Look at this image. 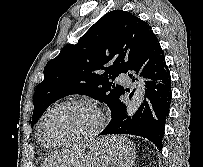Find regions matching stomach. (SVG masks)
I'll return each mask as SVG.
<instances>
[{
    "label": "stomach",
    "mask_w": 203,
    "mask_h": 167,
    "mask_svg": "<svg viewBox=\"0 0 203 167\" xmlns=\"http://www.w3.org/2000/svg\"><path fill=\"white\" fill-rule=\"evenodd\" d=\"M116 148L109 143L97 142L96 146L72 167H114Z\"/></svg>",
    "instance_id": "0dacf381"
}]
</instances>
